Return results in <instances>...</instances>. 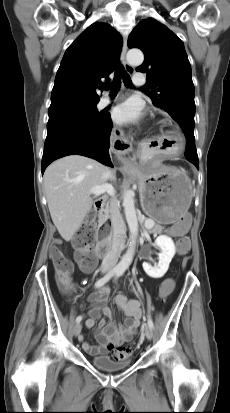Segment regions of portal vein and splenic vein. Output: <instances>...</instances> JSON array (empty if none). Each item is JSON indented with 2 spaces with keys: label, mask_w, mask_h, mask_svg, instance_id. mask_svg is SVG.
Returning a JSON list of instances; mask_svg holds the SVG:
<instances>
[{
  "label": "portal vein and splenic vein",
  "mask_w": 230,
  "mask_h": 413,
  "mask_svg": "<svg viewBox=\"0 0 230 413\" xmlns=\"http://www.w3.org/2000/svg\"><path fill=\"white\" fill-rule=\"evenodd\" d=\"M90 192H91V194H94L95 196H98V195H101V194H104V193H107L110 196L115 195V189L111 184H103V185L95 186L90 190ZM149 224L154 225V222L150 221Z\"/></svg>",
  "instance_id": "18ae733b"
}]
</instances>
